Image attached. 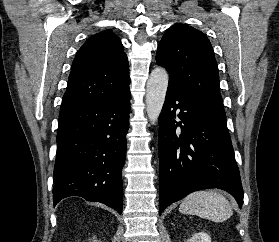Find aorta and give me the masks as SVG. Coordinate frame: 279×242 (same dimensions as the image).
I'll use <instances>...</instances> for the list:
<instances>
[{"label": "aorta", "instance_id": "1", "mask_svg": "<svg viewBox=\"0 0 279 242\" xmlns=\"http://www.w3.org/2000/svg\"><path fill=\"white\" fill-rule=\"evenodd\" d=\"M169 75L163 68H155L147 81L146 86V110L149 120L154 124L161 113L166 91L168 87Z\"/></svg>", "mask_w": 279, "mask_h": 242}]
</instances>
